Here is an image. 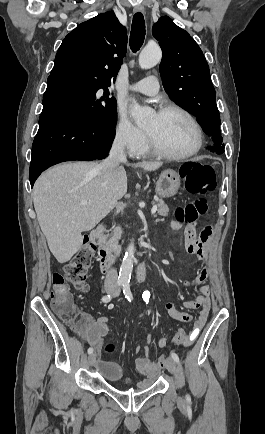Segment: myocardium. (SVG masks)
Segmentation results:
<instances>
[{
    "mask_svg": "<svg viewBox=\"0 0 265 434\" xmlns=\"http://www.w3.org/2000/svg\"><path fill=\"white\" fill-rule=\"evenodd\" d=\"M171 111H177V112L182 113L184 116L187 117V119L192 124L194 131H195V144H194V146L190 150H188L184 153H181V154L168 153V152H165L162 149H160L153 142L150 134L147 132L149 148L155 156L162 158V159H165V160L181 161V160L189 159V158L193 157L194 155H196L201 150V148L203 146L204 136H203L202 127H201L200 123L198 122V120L195 118V116L189 110H187L186 108H184L181 105L170 104V105L164 106L158 111V114L162 115V114H166V113L171 112Z\"/></svg>",
    "mask_w": 265,
    "mask_h": 434,
    "instance_id": "1",
    "label": "myocardium"
}]
</instances>
